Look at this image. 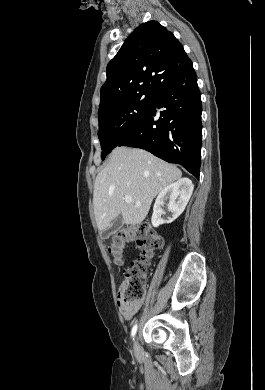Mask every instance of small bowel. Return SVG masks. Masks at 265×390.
Returning <instances> with one entry per match:
<instances>
[{
	"instance_id": "obj_1",
	"label": "small bowel",
	"mask_w": 265,
	"mask_h": 390,
	"mask_svg": "<svg viewBox=\"0 0 265 390\" xmlns=\"http://www.w3.org/2000/svg\"><path fill=\"white\" fill-rule=\"evenodd\" d=\"M122 291V286L120 288V293ZM144 300H140L134 304H125L120 299L118 302L119 310L122 316L126 319H131L142 307Z\"/></svg>"
}]
</instances>
